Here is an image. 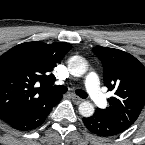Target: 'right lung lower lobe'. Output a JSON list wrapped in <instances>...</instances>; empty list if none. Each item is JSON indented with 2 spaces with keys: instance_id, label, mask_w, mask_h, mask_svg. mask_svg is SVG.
Returning <instances> with one entry per match:
<instances>
[{
  "instance_id": "98d812e1",
  "label": "right lung lower lobe",
  "mask_w": 145,
  "mask_h": 145,
  "mask_svg": "<svg viewBox=\"0 0 145 145\" xmlns=\"http://www.w3.org/2000/svg\"><path fill=\"white\" fill-rule=\"evenodd\" d=\"M61 98V95H56L37 108L13 114L3 120L9 126L19 131L35 129L43 124L52 108L59 103Z\"/></svg>"
}]
</instances>
